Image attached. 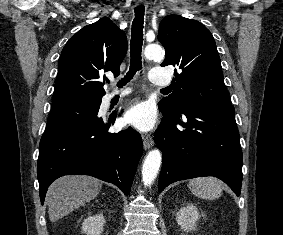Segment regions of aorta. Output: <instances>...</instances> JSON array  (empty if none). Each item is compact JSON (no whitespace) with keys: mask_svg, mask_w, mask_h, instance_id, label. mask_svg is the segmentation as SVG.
Instances as JSON below:
<instances>
[{"mask_svg":"<svg viewBox=\"0 0 283 235\" xmlns=\"http://www.w3.org/2000/svg\"><path fill=\"white\" fill-rule=\"evenodd\" d=\"M144 55L150 60H162L165 52L158 44H151L145 48ZM162 154L160 150H151L146 156L142 166V180L144 185L151 186L156 179L161 165Z\"/></svg>","mask_w":283,"mask_h":235,"instance_id":"obj_1","label":"aorta"}]
</instances>
